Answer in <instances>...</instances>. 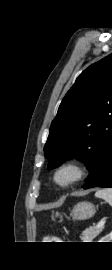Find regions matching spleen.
Here are the masks:
<instances>
[{"mask_svg": "<svg viewBox=\"0 0 112 270\" xmlns=\"http://www.w3.org/2000/svg\"><path fill=\"white\" fill-rule=\"evenodd\" d=\"M97 198L104 199L109 205L112 206V188L100 189L95 193Z\"/></svg>", "mask_w": 112, "mask_h": 270, "instance_id": "3e777b00", "label": "spleen"}]
</instances>
